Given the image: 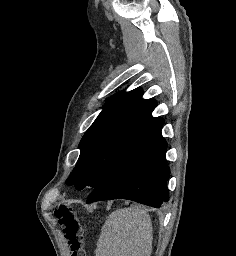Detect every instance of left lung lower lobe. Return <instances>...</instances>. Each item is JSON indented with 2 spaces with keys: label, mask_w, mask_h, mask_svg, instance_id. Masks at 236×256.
Returning a JSON list of instances; mask_svg holds the SVG:
<instances>
[{
  "label": "left lung lower lobe",
  "mask_w": 236,
  "mask_h": 256,
  "mask_svg": "<svg viewBox=\"0 0 236 256\" xmlns=\"http://www.w3.org/2000/svg\"><path fill=\"white\" fill-rule=\"evenodd\" d=\"M164 120L151 117L128 142L107 176L94 188L87 203L129 199L160 207L169 199L166 164L167 143L162 137Z\"/></svg>",
  "instance_id": "0a47b994"
}]
</instances>
